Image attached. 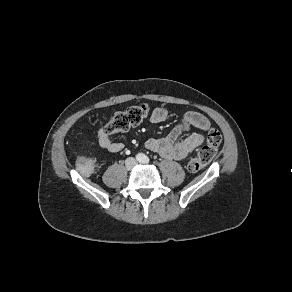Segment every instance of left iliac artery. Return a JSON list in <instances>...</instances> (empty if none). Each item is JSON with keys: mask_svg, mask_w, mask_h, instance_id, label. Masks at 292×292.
I'll list each match as a JSON object with an SVG mask.
<instances>
[{"mask_svg": "<svg viewBox=\"0 0 292 292\" xmlns=\"http://www.w3.org/2000/svg\"><path fill=\"white\" fill-rule=\"evenodd\" d=\"M142 162L145 164L149 163V158L147 156H144Z\"/></svg>", "mask_w": 292, "mask_h": 292, "instance_id": "left-iliac-artery-1", "label": "left iliac artery"}]
</instances>
